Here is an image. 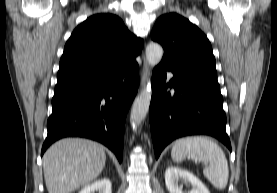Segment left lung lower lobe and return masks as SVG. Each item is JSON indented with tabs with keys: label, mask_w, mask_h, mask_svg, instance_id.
Returning a JSON list of instances; mask_svg holds the SVG:
<instances>
[{
	"label": "left lung lower lobe",
	"mask_w": 277,
	"mask_h": 193,
	"mask_svg": "<svg viewBox=\"0 0 277 193\" xmlns=\"http://www.w3.org/2000/svg\"><path fill=\"white\" fill-rule=\"evenodd\" d=\"M168 72L173 78L166 82ZM222 104L217 75L180 73L159 64L153 71L149 109L156 159L170 142L188 135L213 136L231 151Z\"/></svg>",
	"instance_id": "1"
}]
</instances>
